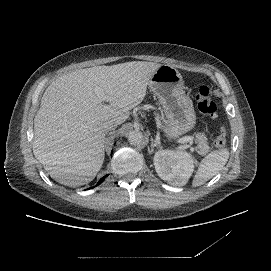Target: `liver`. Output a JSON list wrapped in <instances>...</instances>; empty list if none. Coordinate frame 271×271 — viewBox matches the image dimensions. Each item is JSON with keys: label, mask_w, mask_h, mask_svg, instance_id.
<instances>
[{"label": "liver", "mask_w": 271, "mask_h": 271, "mask_svg": "<svg viewBox=\"0 0 271 271\" xmlns=\"http://www.w3.org/2000/svg\"><path fill=\"white\" fill-rule=\"evenodd\" d=\"M161 66L144 61L95 66L68 72L47 87L34 119L33 154L53 180L76 186L95 178L105 156L101 125L124 123Z\"/></svg>", "instance_id": "1"}]
</instances>
